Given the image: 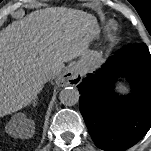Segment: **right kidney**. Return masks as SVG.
I'll return each instance as SVG.
<instances>
[{"mask_svg": "<svg viewBox=\"0 0 151 151\" xmlns=\"http://www.w3.org/2000/svg\"><path fill=\"white\" fill-rule=\"evenodd\" d=\"M12 121H13V122H20V123H23V122H24L19 115H16V116L12 119ZM28 126H29V125H27V126L25 127V132H24L25 137H27L26 133H27V130H28ZM12 131H15V130L12 129ZM21 131H22V128H21L20 132H21Z\"/></svg>", "mask_w": 151, "mask_h": 151, "instance_id": "right-kidney-1", "label": "right kidney"}]
</instances>
